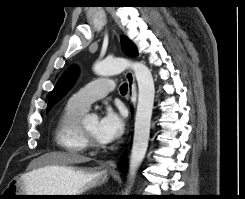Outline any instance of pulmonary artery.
Listing matches in <instances>:
<instances>
[{
  "mask_svg": "<svg viewBox=\"0 0 245 199\" xmlns=\"http://www.w3.org/2000/svg\"><path fill=\"white\" fill-rule=\"evenodd\" d=\"M115 87L112 80H95L81 88L70 99L69 103L82 110H87L90 105L108 95Z\"/></svg>",
  "mask_w": 245,
  "mask_h": 199,
  "instance_id": "pulmonary-artery-1",
  "label": "pulmonary artery"
}]
</instances>
